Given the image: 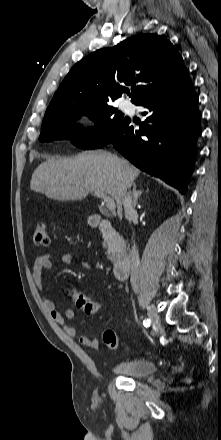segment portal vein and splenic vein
I'll return each mask as SVG.
<instances>
[{
	"instance_id": "1",
	"label": "portal vein and splenic vein",
	"mask_w": 221,
	"mask_h": 440,
	"mask_svg": "<svg viewBox=\"0 0 221 440\" xmlns=\"http://www.w3.org/2000/svg\"><path fill=\"white\" fill-rule=\"evenodd\" d=\"M95 195L101 199H103L104 203L106 204V207L109 211L114 212L115 211V202L114 199L110 196H108L104 192H96Z\"/></svg>"
}]
</instances>
